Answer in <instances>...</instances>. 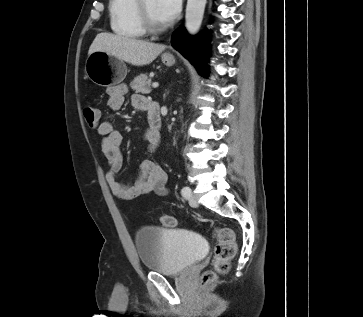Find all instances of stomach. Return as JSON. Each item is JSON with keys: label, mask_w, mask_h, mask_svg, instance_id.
Listing matches in <instances>:
<instances>
[{"label": "stomach", "mask_w": 363, "mask_h": 317, "mask_svg": "<svg viewBox=\"0 0 363 317\" xmlns=\"http://www.w3.org/2000/svg\"><path fill=\"white\" fill-rule=\"evenodd\" d=\"M162 62L170 67L175 64V59L170 54H163ZM85 73L96 85L107 87L121 83L127 75V67L118 57L104 51H96L87 57Z\"/></svg>", "instance_id": "stomach-1"}]
</instances>
